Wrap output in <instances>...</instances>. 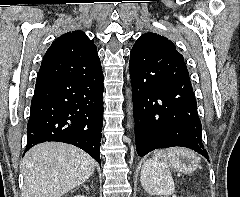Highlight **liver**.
<instances>
[{"mask_svg": "<svg viewBox=\"0 0 240 197\" xmlns=\"http://www.w3.org/2000/svg\"><path fill=\"white\" fill-rule=\"evenodd\" d=\"M96 161L71 144L45 142L32 147L22 160L24 185L21 197H61L83 184Z\"/></svg>", "mask_w": 240, "mask_h": 197, "instance_id": "liver-1", "label": "liver"}]
</instances>
